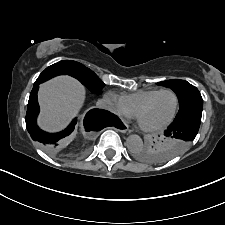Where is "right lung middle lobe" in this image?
Segmentation results:
<instances>
[{"label":"right lung middle lobe","instance_id":"obj_1","mask_svg":"<svg viewBox=\"0 0 225 225\" xmlns=\"http://www.w3.org/2000/svg\"><path fill=\"white\" fill-rule=\"evenodd\" d=\"M43 72H56L73 76L94 93H100L105 86L93 71L72 60L59 61L47 67Z\"/></svg>","mask_w":225,"mask_h":225}]
</instances>
